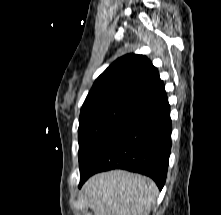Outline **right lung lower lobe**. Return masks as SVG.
Segmentation results:
<instances>
[{
	"instance_id": "right-lung-lower-lobe-1",
	"label": "right lung lower lobe",
	"mask_w": 221,
	"mask_h": 215,
	"mask_svg": "<svg viewBox=\"0 0 221 215\" xmlns=\"http://www.w3.org/2000/svg\"><path fill=\"white\" fill-rule=\"evenodd\" d=\"M171 132L170 105L164 92L120 122L80 173L79 187L97 172L125 169L149 176L161 190L167 176Z\"/></svg>"
}]
</instances>
